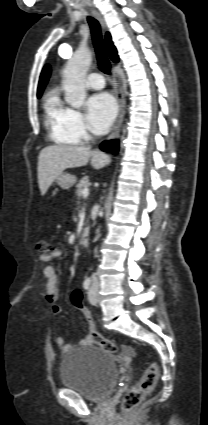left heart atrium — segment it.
I'll list each match as a JSON object with an SVG mask.
<instances>
[{
    "mask_svg": "<svg viewBox=\"0 0 208 425\" xmlns=\"http://www.w3.org/2000/svg\"><path fill=\"white\" fill-rule=\"evenodd\" d=\"M117 114V105L108 93H98L87 101V120L96 134L106 133Z\"/></svg>",
    "mask_w": 208,
    "mask_h": 425,
    "instance_id": "39dd6f15",
    "label": "left heart atrium"
}]
</instances>
